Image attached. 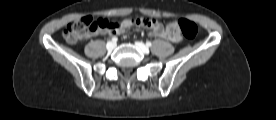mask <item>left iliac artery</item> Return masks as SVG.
<instances>
[{"label": "left iliac artery", "instance_id": "left-iliac-artery-1", "mask_svg": "<svg viewBox=\"0 0 276 120\" xmlns=\"http://www.w3.org/2000/svg\"><path fill=\"white\" fill-rule=\"evenodd\" d=\"M146 45H147L148 47H150V46H152V43H151L150 41H147V42H146Z\"/></svg>", "mask_w": 276, "mask_h": 120}]
</instances>
